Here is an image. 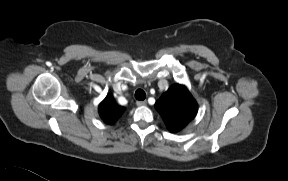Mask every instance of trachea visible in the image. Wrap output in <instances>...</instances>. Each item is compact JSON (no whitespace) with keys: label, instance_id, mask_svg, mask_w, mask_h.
Returning <instances> with one entry per match:
<instances>
[{"label":"trachea","instance_id":"obj_1","mask_svg":"<svg viewBox=\"0 0 288 181\" xmlns=\"http://www.w3.org/2000/svg\"><path fill=\"white\" fill-rule=\"evenodd\" d=\"M135 97L139 101H143L146 98V94L142 89H137L135 92Z\"/></svg>","mask_w":288,"mask_h":181}]
</instances>
